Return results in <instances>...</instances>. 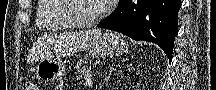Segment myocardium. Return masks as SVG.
<instances>
[{"instance_id": "myocardium-1", "label": "myocardium", "mask_w": 216, "mask_h": 90, "mask_svg": "<svg viewBox=\"0 0 216 90\" xmlns=\"http://www.w3.org/2000/svg\"><path fill=\"white\" fill-rule=\"evenodd\" d=\"M75 1H93V0H65V8H63L62 14H66V18H69L75 28H94L95 24L101 20H105L108 16V6L105 2L101 1L98 14L90 19H82L77 17L74 12Z\"/></svg>"}]
</instances>
